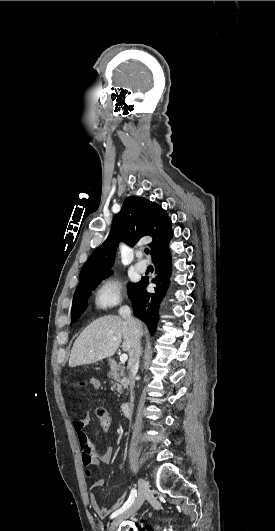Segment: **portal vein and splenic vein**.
I'll return each mask as SVG.
<instances>
[{"label":"portal vein and splenic vein","instance_id":"1","mask_svg":"<svg viewBox=\"0 0 275 531\" xmlns=\"http://www.w3.org/2000/svg\"><path fill=\"white\" fill-rule=\"evenodd\" d=\"M113 341H117V339H113ZM128 355H120V361L121 363H125L127 361Z\"/></svg>","mask_w":275,"mask_h":531}]
</instances>
